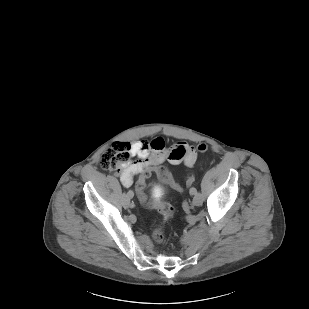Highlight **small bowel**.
<instances>
[{
  "instance_id": "obj_1",
  "label": "small bowel",
  "mask_w": 309,
  "mask_h": 309,
  "mask_svg": "<svg viewBox=\"0 0 309 309\" xmlns=\"http://www.w3.org/2000/svg\"><path fill=\"white\" fill-rule=\"evenodd\" d=\"M131 148V153L136 157V160L127 163L119 173L120 179L126 187L132 185L135 175L144 171L152 172L156 166L165 161L191 167L196 163L198 157L196 148L186 142L175 144L167 152L165 140L162 137H155L150 141H134Z\"/></svg>"
}]
</instances>
